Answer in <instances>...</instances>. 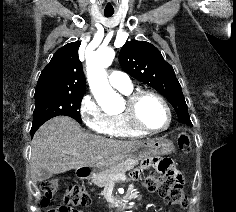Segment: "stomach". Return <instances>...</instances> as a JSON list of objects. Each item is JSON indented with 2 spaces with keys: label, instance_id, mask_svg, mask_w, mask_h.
<instances>
[{
  "label": "stomach",
  "instance_id": "1",
  "mask_svg": "<svg viewBox=\"0 0 236 212\" xmlns=\"http://www.w3.org/2000/svg\"><path fill=\"white\" fill-rule=\"evenodd\" d=\"M173 149L174 145L168 139L165 138L151 139L135 146L133 149H131L128 153L124 155L112 157L110 159L105 160L99 166L89 168V172L86 169L80 168L77 170V174L78 176L81 177L88 175L89 173H101L106 169L126 159H132L136 161L144 160L152 156L169 154L173 151Z\"/></svg>",
  "mask_w": 236,
  "mask_h": 212
}]
</instances>
